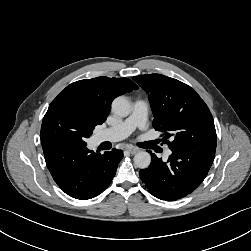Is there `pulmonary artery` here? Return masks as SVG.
<instances>
[{"mask_svg": "<svg viewBox=\"0 0 251 251\" xmlns=\"http://www.w3.org/2000/svg\"><path fill=\"white\" fill-rule=\"evenodd\" d=\"M148 105L144 100H136L131 114L115 126L102 130L97 135L98 142H115L128 137L135 129L145 130L147 127ZM171 151L166 150V155Z\"/></svg>", "mask_w": 251, "mask_h": 251, "instance_id": "1", "label": "pulmonary artery"}]
</instances>
